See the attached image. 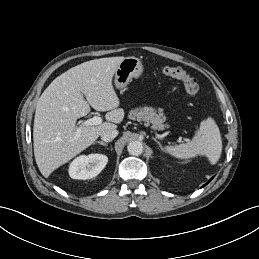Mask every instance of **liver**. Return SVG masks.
<instances>
[{"instance_id":"liver-1","label":"liver","mask_w":259,"mask_h":259,"mask_svg":"<svg viewBox=\"0 0 259 259\" xmlns=\"http://www.w3.org/2000/svg\"><path fill=\"white\" fill-rule=\"evenodd\" d=\"M124 57L90 60L70 68L55 78L38 100L34 127V156L44 177L92 145L101 134L116 129L124 110L113 88L112 78ZM86 96L87 101L84 99ZM106 113V122L80 126L76 120L90 112Z\"/></svg>"}]
</instances>
